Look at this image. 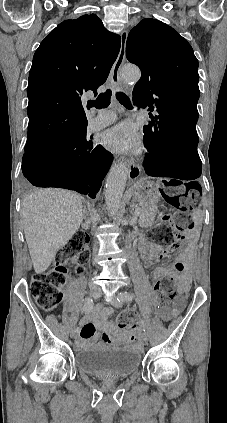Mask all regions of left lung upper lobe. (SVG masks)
I'll return each mask as SVG.
<instances>
[{
    "label": "left lung upper lobe",
    "mask_w": 227,
    "mask_h": 423,
    "mask_svg": "<svg viewBox=\"0 0 227 423\" xmlns=\"http://www.w3.org/2000/svg\"><path fill=\"white\" fill-rule=\"evenodd\" d=\"M126 57L141 70L133 104L162 118L198 120V60L179 33L155 19H143L127 38Z\"/></svg>",
    "instance_id": "left-lung-upper-lobe-1"
}]
</instances>
